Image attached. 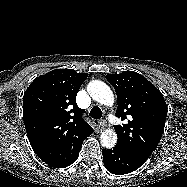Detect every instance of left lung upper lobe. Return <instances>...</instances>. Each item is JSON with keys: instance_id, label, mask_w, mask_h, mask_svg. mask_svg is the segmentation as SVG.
<instances>
[{"instance_id": "5c2ea615", "label": "left lung upper lobe", "mask_w": 187, "mask_h": 187, "mask_svg": "<svg viewBox=\"0 0 187 187\" xmlns=\"http://www.w3.org/2000/svg\"><path fill=\"white\" fill-rule=\"evenodd\" d=\"M117 94L116 116L128 123L115 126L117 144L125 151L148 159L156 149L165 126L167 105L162 93L134 71L108 74Z\"/></svg>"}]
</instances>
